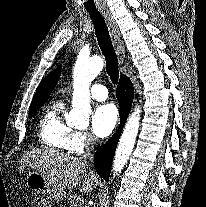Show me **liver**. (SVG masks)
Returning a JSON list of instances; mask_svg holds the SVG:
<instances>
[{
  "label": "liver",
  "instance_id": "1",
  "mask_svg": "<svg viewBox=\"0 0 206 207\" xmlns=\"http://www.w3.org/2000/svg\"><path fill=\"white\" fill-rule=\"evenodd\" d=\"M22 166L27 165L44 176L57 192L53 199L62 200L66 197V189L76 187L82 178L80 192L91 191L99 184L93 171L81 158L73 157L55 150H37L24 156Z\"/></svg>",
  "mask_w": 206,
  "mask_h": 207
}]
</instances>
